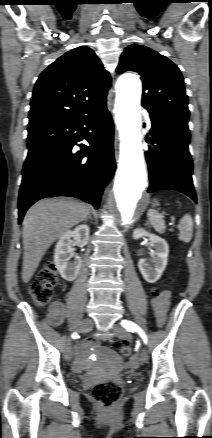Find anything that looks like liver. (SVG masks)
I'll return each instance as SVG.
<instances>
[{
	"label": "liver",
	"mask_w": 212,
	"mask_h": 438,
	"mask_svg": "<svg viewBox=\"0 0 212 438\" xmlns=\"http://www.w3.org/2000/svg\"><path fill=\"white\" fill-rule=\"evenodd\" d=\"M89 213L85 203L66 198L43 199L27 211L23 220L24 283L31 280L51 244Z\"/></svg>",
	"instance_id": "obj_1"
}]
</instances>
